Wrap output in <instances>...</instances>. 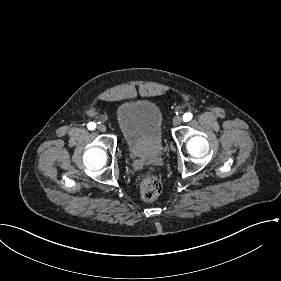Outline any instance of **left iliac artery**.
Segmentation results:
<instances>
[{"label":"left iliac artery","instance_id":"obj_1","mask_svg":"<svg viewBox=\"0 0 281 281\" xmlns=\"http://www.w3.org/2000/svg\"><path fill=\"white\" fill-rule=\"evenodd\" d=\"M192 117H193V115L188 112V113H185V114L183 115V120H184V121H190V120L192 119Z\"/></svg>","mask_w":281,"mask_h":281}]
</instances>
